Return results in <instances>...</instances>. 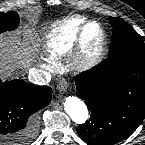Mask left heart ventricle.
Masks as SVG:
<instances>
[{
	"label": "left heart ventricle",
	"mask_w": 145,
	"mask_h": 145,
	"mask_svg": "<svg viewBox=\"0 0 145 145\" xmlns=\"http://www.w3.org/2000/svg\"><path fill=\"white\" fill-rule=\"evenodd\" d=\"M100 38L99 30L95 25L88 27L85 33L86 46L89 51H93L98 45Z\"/></svg>",
	"instance_id": "left-heart-ventricle-1"
}]
</instances>
